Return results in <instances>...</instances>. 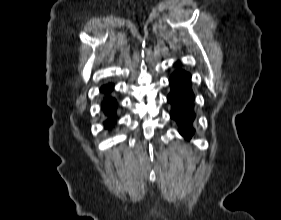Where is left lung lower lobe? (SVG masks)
<instances>
[{
    "label": "left lung lower lobe",
    "instance_id": "1",
    "mask_svg": "<svg viewBox=\"0 0 281 220\" xmlns=\"http://www.w3.org/2000/svg\"><path fill=\"white\" fill-rule=\"evenodd\" d=\"M176 65L178 69L169 79L171 91L167 100L172 106L170 116L177 122L180 134L190 140L195 133L193 127L195 96L191 88V75L180 68V62Z\"/></svg>",
    "mask_w": 281,
    "mask_h": 220
}]
</instances>
